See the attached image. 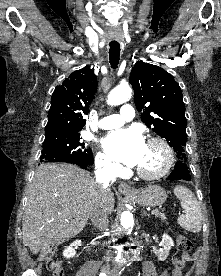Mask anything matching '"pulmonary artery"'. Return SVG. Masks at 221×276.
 Here are the masks:
<instances>
[{"label": "pulmonary artery", "instance_id": "e3ab8cb5", "mask_svg": "<svg viewBox=\"0 0 221 276\" xmlns=\"http://www.w3.org/2000/svg\"><path fill=\"white\" fill-rule=\"evenodd\" d=\"M134 109L129 104H124L120 108L119 114L109 115L101 119L99 126L102 129H114L122 126L125 122L134 118Z\"/></svg>", "mask_w": 221, "mask_h": 276}]
</instances>
